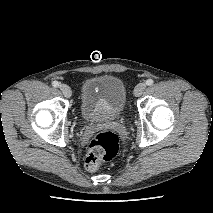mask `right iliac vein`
Wrapping results in <instances>:
<instances>
[{"label":"right iliac vein","mask_w":213,"mask_h":213,"mask_svg":"<svg viewBox=\"0 0 213 213\" xmlns=\"http://www.w3.org/2000/svg\"><path fill=\"white\" fill-rule=\"evenodd\" d=\"M60 90L66 98H70L72 95L71 88L66 84L60 85Z\"/></svg>","instance_id":"1"}]
</instances>
